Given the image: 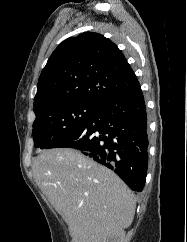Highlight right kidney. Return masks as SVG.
<instances>
[{"label": "right kidney", "instance_id": "ca27d5eb", "mask_svg": "<svg viewBox=\"0 0 187 242\" xmlns=\"http://www.w3.org/2000/svg\"><path fill=\"white\" fill-rule=\"evenodd\" d=\"M125 232L121 230L120 232L108 237L107 240L103 242H126Z\"/></svg>", "mask_w": 187, "mask_h": 242}]
</instances>
